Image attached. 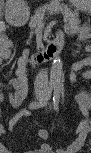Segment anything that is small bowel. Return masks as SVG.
Here are the masks:
<instances>
[{"label": "small bowel", "mask_w": 91, "mask_h": 153, "mask_svg": "<svg viewBox=\"0 0 91 153\" xmlns=\"http://www.w3.org/2000/svg\"><path fill=\"white\" fill-rule=\"evenodd\" d=\"M1 56L3 58L9 57V44L1 47ZM10 84L14 88V92L8 93L7 98L11 105L17 107L23 103L27 95V63L24 58H20L18 60L15 71V78L11 81ZM76 102L79 109L84 114L85 118L80 123L76 135L70 142V144L64 149L57 150L56 152L58 153H76L82 147L86 136L91 130L90 122L86 116L91 104V100L88 93L84 90H81L76 97ZM14 123L15 121L11 122L12 125ZM0 135L2 139H4L6 131L4 129H1ZM39 137L42 139H46L47 132L44 130L40 131ZM1 152L8 153L9 150L5 145H1ZM32 152L51 153L53 152V150L48 144L42 143L37 149L33 150Z\"/></svg>", "instance_id": "1"}]
</instances>
